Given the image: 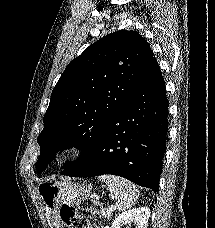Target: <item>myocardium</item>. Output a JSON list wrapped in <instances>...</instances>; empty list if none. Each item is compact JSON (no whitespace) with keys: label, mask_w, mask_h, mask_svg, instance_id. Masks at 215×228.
Segmentation results:
<instances>
[{"label":"myocardium","mask_w":215,"mask_h":228,"mask_svg":"<svg viewBox=\"0 0 215 228\" xmlns=\"http://www.w3.org/2000/svg\"><path fill=\"white\" fill-rule=\"evenodd\" d=\"M77 153V148L75 145L67 144L59 148L56 153V157L59 160H68L73 158Z\"/></svg>","instance_id":"f54148a6"}]
</instances>
